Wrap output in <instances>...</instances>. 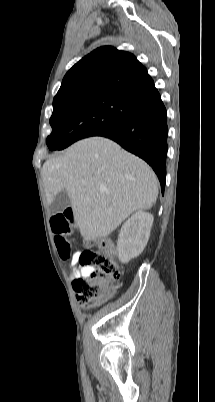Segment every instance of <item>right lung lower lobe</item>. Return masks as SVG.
<instances>
[{
    "mask_svg": "<svg viewBox=\"0 0 215 402\" xmlns=\"http://www.w3.org/2000/svg\"><path fill=\"white\" fill-rule=\"evenodd\" d=\"M99 136L117 142L145 160L158 176L164 193L168 126L166 108L160 94L139 103L123 123Z\"/></svg>",
    "mask_w": 215,
    "mask_h": 402,
    "instance_id": "1",
    "label": "right lung lower lobe"
}]
</instances>
